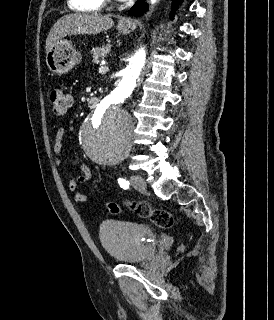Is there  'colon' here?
<instances>
[{
  "label": "colon",
  "instance_id": "1",
  "mask_svg": "<svg viewBox=\"0 0 274 320\" xmlns=\"http://www.w3.org/2000/svg\"><path fill=\"white\" fill-rule=\"evenodd\" d=\"M49 101L56 116L65 115L72 103L69 93L63 87L52 88L49 94ZM105 209L115 215H120L123 212V209L113 202L105 203ZM133 210L141 217H149L157 226H170L172 223L170 213L151 209L147 203L137 204Z\"/></svg>",
  "mask_w": 274,
  "mask_h": 320
}]
</instances>
